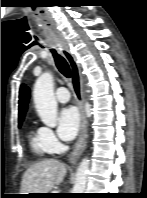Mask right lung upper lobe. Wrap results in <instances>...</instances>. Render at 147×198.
<instances>
[{
  "label": "right lung upper lobe",
  "mask_w": 147,
  "mask_h": 198,
  "mask_svg": "<svg viewBox=\"0 0 147 198\" xmlns=\"http://www.w3.org/2000/svg\"><path fill=\"white\" fill-rule=\"evenodd\" d=\"M29 97V88L25 84H22L19 92V120L25 117Z\"/></svg>",
  "instance_id": "obj_1"
}]
</instances>
